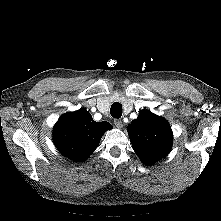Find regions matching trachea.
<instances>
[{
  "label": "trachea",
  "mask_w": 221,
  "mask_h": 221,
  "mask_svg": "<svg viewBox=\"0 0 221 221\" xmlns=\"http://www.w3.org/2000/svg\"><path fill=\"white\" fill-rule=\"evenodd\" d=\"M110 113L113 118H120L122 116V105L118 102L113 103L110 109Z\"/></svg>",
  "instance_id": "1"
}]
</instances>
